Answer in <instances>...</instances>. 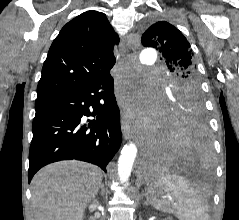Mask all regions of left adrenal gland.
Returning <instances> with one entry per match:
<instances>
[{
	"instance_id": "a2214340",
	"label": "left adrenal gland",
	"mask_w": 239,
	"mask_h": 220,
	"mask_svg": "<svg viewBox=\"0 0 239 220\" xmlns=\"http://www.w3.org/2000/svg\"><path fill=\"white\" fill-rule=\"evenodd\" d=\"M144 204H145V205H151V203H150L148 197H147L146 201L144 202Z\"/></svg>"
}]
</instances>
